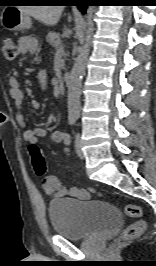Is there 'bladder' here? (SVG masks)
<instances>
[{"label":"bladder","mask_w":156,"mask_h":266,"mask_svg":"<svg viewBox=\"0 0 156 266\" xmlns=\"http://www.w3.org/2000/svg\"><path fill=\"white\" fill-rule=\"evenodd\" d=\"M53 231L70 240H82L107 232L122 222L120 210L100 200L58 199L50 202Z\"/></svg>","instance_id":"bladder-1"}]
</instances>
